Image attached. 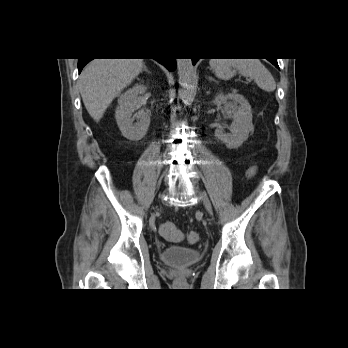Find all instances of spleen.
<instances>
[{
    "label": "spleen",
    "mask_w": 348,
    "mask_h": 348,
    "mask_svg": "<svg viewBox=\"0 0 348 348\" xmlns=\"http://www.w3.org/2000/svg\"><path fill=\"white\" fill-rule=\"evenodd\" d=\"M210 66L219 79L229 80L238 71L244 77L253 78L257 86L266 92L276 89L272 74L259 59H211Z\"/></svg>",
    "instance_id": "obj_1"
}]
</instances>
